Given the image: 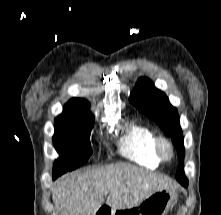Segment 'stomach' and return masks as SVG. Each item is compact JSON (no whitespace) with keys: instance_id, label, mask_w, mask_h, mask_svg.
I'll use <instances>...</instances> for the list:
<instances>
[{"instance_id":"obj_1","label":"stomach","mask_w":221,"mask_h":215,"mask_svg":"<svg viewBox=\"0 0 221 215\" xmlns=\"http://www.w3.org/2000/svg\"><path fill=\"white\" fill-rule=\"evenodd\" d=\"M178 195L173 189L155 191L137 206L114 210L112 215H167L176 204Z\"/></svg>"}]
</instances>
